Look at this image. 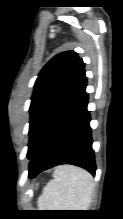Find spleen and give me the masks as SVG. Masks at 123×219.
<instances>
[{"mask_svg": "<svg viewBox=\"0 0 123 219\" xmlns=\"http://www.w3.org/2000/svg\"><path fill=\"white\" fill-rule=\"evenodd\" d=\"M93 179L85 170L70 166H59L54 179L43 189L38 200L41 210H87L92 201Z\"/></svg>", "mask_w": 123, "mask_h": 219, "instance_id": "1", "label": "spleen"}]
</instances>
